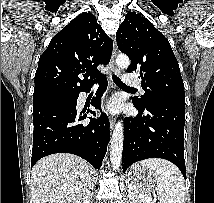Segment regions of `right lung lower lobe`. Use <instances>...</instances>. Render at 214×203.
Masks as SVG:
<instances>
[{"instance_id":"right-lung-lower-lobe-1","label":"right lung lower lobe","mask_w":214,"mask_h":203,"mask_svg":"<svg viewBox=\"0 0 214 203\" xmlns=\"http://www.w3.org/2000/svg\"><path fill=\"white\" fill-rule=\"evenodd\" d=\"M97 95L91 105L101 109V96L107 88V79L99 80ZM93 85V84H92ZM91 85V86H92ZM91 86L46 102L33 108V148L31 167L41 158L54 153H71L82 157L95 168H100L110 139L109 119L102 113L99 118L90 117L88 124L79 122L94 111L76 110L77 99L82 91Z\"/></svg>"}]
</instances>
